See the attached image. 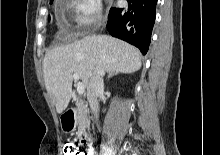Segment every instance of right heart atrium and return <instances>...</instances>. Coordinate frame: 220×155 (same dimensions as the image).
Returning a JSON list of instances; mask_svg holds the SVG:
<instances>
[{
    "instance_id": "d8ad5b80",
    "label": "right heart atrium",
    "mask_w": 220,
    "mask_h": 155,
    "mask_svg": "<svg viewBox=\"0 0 220 155\" xmlns=\"http://www.w3.org/2000/svg\"><path fill=\"white\" fill-rule=\"evenodd\" d=\"M71 6L78 29L89 31L101 23L103 17L101 0H72Z\"/></svg>"
}]
</instances>
